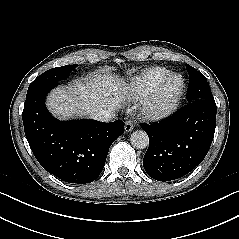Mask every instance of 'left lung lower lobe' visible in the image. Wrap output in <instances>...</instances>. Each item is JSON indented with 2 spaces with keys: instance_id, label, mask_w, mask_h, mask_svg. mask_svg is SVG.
Returning a JSON list of instances; mask_svg holds the SVG:
<instances>
[{
  "instance_id": "1",
  "label": "left lung lower lobe",
  "mask_w": 239,
  "mask_h": 239,
  "mask_svg": "<svg viewBox=\"0 0 239 239\" xmlns=\"http://www.w3.org/2000/svg\"><path fill=\"white\" fill-rule=\"evenodd\" d=\"M216 111L214 99H200L164 122L142 125L149 137L143 159L148 175L158 181H171L198 166L214 137Z\"/></svg>"
}]
</instances>
